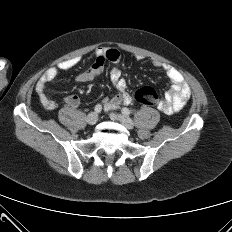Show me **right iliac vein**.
Returning <instances> with one entry per match:
<instances>
[{
  "instance_id": "63e3f726",
  "label": "right iliac vein",
  "mask_w": 232,
  "mask_h": 232,
  "mask_svg": "<svg viewBox=\"0 0 232 232\" xmlns=\"http://www.w3.org/2000/svg\"><path fill=\"white\" fill-rule=\"evenodd\" d=\"M98 121V115L95 112L88 114L87 116V123L89 125H94Z\"/></svg>"
}]
</instances>
